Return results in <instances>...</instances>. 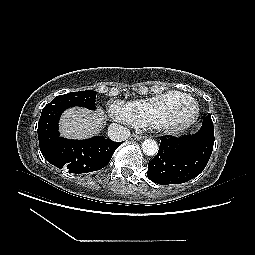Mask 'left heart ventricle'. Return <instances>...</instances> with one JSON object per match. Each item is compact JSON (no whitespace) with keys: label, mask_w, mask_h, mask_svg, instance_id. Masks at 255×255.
I'll use <instances>...</instances> for the list:
<instances>
[{"label":"left heart ventricle","mask_w":255,"mask_h":255,"mask_svg":"<svg viewBox=\"0 0 255 255\" xmlns=\"http://www.w3.org/2000/svg\"><path fill=\"white\" fill-rule=\"evenodd\" d=\"M186 116H187V111L181 107H177L171 114V117L173 119H178V120L184 119Z\"/></svg>","instance_id":"left-heart-ventricle-1"}]
</instances>
